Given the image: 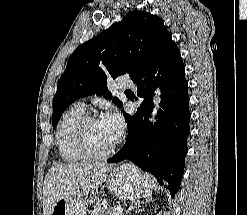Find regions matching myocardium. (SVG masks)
Segmentation results:
<instances>
[{
    "instance_id": "myocardium-1",
    "label": "myocardium",
    "mask_w": 247,
    "mask_h": 215,
    "mask_svg": "<svg viewBox=\"0 0 247 215\" xmlns=\"http://www.w3.org/2000/svg\"><path fill=\"white\" fill-rule=\"evenodd\" d=\"M99 117L96 114H85L78 121L74 128V140L79 152L89 160H102L108 158L114 153L118 146V139L106 150L96 151L94 150L88 141L87 127L90 123L98 120Z\"/></svg>"
}]
</instances>
